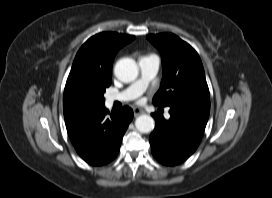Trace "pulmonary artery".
Segmentation results:
<instances>
[{"label": "pulmonary artery", "instance_id": "e3ab8cb5", "mask_svg": "<svg viewBox=\"0 0 272 198\" xmlns=\"http://www.w3.org/2000/svg\"><path fill=\"white\" fill-rule=\"evenodd\" d=\"M159 63V58L155 55L141 57L138 61L141 71L140 78L123 91L107 96L108 103L127 102L140 96L146 89L149 81L157 74ZM166 117H169L168 113Z\"/></svg>", "mask_w": 272, "mask_h": 198}]
</instances>
